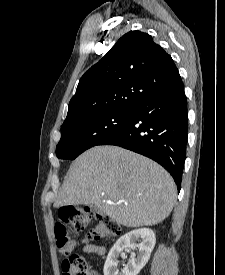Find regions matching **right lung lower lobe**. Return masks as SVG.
<instances>
[{"instance_id": "right-lung-lower-lobe-1", "label": "right lung lower lobe", "mask_w": 225, "mask_h": 275, "mask_svg": "<svg viewBox=\"0 0 225 275\" xmlns=\"http://www.w3.org/2000/svg\"><path fill=\"white\" fill-rule=\"evenodd\" d=\"M187 131V99L180 83L137 103L126 124L99 145L120 146L153 159L172 175L180 191Z\"/></svg>"}]
</instances>
